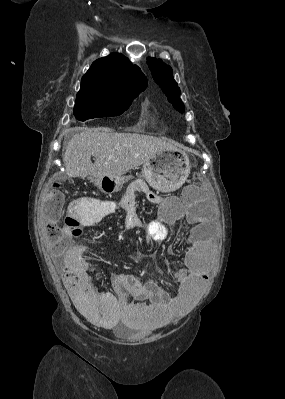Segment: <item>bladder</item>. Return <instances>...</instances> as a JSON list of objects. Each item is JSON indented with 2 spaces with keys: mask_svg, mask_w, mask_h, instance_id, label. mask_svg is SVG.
<instances>
[{
  "mask_svg": "<svg viewBox=\"0 0 285 399\" xmlns=\"http://www.w3.org/2000/svg\"><path fill=\"white\" fill-rule=\"evenodd\" d=\"M115 333L121 336H128L134 332L133 328H130L128 323L121 322L114 330Z\"/></svg>",
  "mask_w": 285,
  "mask_h": 399,
  "instance_id": "obj_1",
  "label": "bladder"
}]
</instances>
